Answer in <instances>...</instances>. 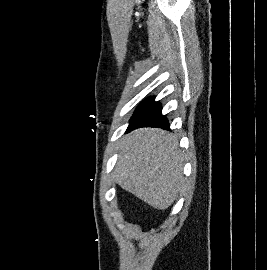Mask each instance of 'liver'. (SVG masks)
Listing matches in <instances>:
<instances>
[{"instance_id": "liver-1", "label": "liver", "mask_w": 267, "mask_h": 270, "mask_svg": "<svg viewBox=\"0 0 267 270\" xmlns=\"http://www.w3.org/2000/svg\"><path fill=\"white\" fill-rule=\"evenodd\" d=\"M178 140L158 128L128 134L119 148L114 180L155 209L168 208L184 183Z\"/></svg>"}]
</instances>
